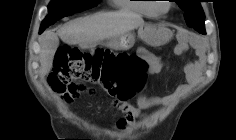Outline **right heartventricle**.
<instances>
[{"label":"right heart ventricle","mask_w":236,"mask_h":140,"mask_svg":"<svg viewBox=\"0 0 236 140\" xmlns=\"http://www.w3.org/2000/svg\"><path fill=\"white\" fill-rule=\"evenodd\" d=\"M148 1L152 0H116L115 4L122 11L133 12L148 18L156 17L154 5Z\"/></svg>","instance_id":"1"}]
</instances>
